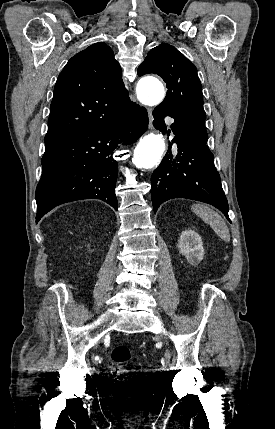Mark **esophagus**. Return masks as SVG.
Instances as JSON below:
<instances>
[{
  "instance_id": "34e87169",
  "label": "esophagus",
  "mask_w": 275,
  "mask_h": 429,
  "mask_svg": "<svg viewBox=\"0 0 275 429\" xmlns=\"http://www.w3.org/2000/svg\"><path fill=\"white\" fill-rule=\"evenodd\" d=\"M148 115H149V128H152V121H153V117H152V111L151 109H148Z\"/></svg>"
}]
</instances>
